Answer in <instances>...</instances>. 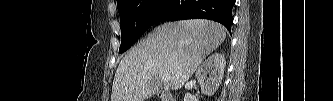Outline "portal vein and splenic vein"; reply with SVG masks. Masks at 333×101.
Segmentation results:
<instances>
[{
  "label": "portal vein and splenic vein",
  "instance_id": "18ae733b",
  "mask_svg": "<svg viewBox=\"0 0 333 101\" xmlns=\"http://www.w3.org/2000/svg\"><path fill=\"white\" fill-rule=\"evenodd\" d=\"M171 77L169 75H164L161 77V80L165 83H169Z\"/></svg>",
  "mask_w": 333,
  "mask_h": 101
}]
</instances>
